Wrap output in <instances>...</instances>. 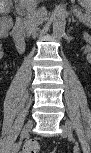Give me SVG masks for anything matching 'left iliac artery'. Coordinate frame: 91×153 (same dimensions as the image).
I'll return each mask as SVG.
<instances>
[{"label": "left iliac artery", "mask_w": 91, "mask_h": 153, "mask_svg": "<svg viewBox=\"0 0 91 153\" xmlns=\"http://www.w3.org/2000/svg\"><path fill=\"white\" fill-rule=\"evenodd\" d=\"M66 127H67V135L69 137V143H73V146H74V149L76 151H73V153H81L80 148H79V143H78V140H75V137L73 136L74 134V127L72 126H69V124H66Z\"/></svg>", "instance_id": "left-iliac-artery-1"}]
</instances>
